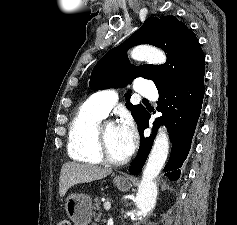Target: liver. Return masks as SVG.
<instances>
[{"label": "liver", "instance_id": "liver-1", "mask_svg": "<svg viewBox=\"0 0 237 225\" xmlns=\"http://www.w3.org/2000/svg\"><path fill=\"white\" fill-rule=\"evenodd\" d=\"M111 172L110 169L89 164L64 163L59 178V194L63 197L72 186L105 178Z\"/></svg>", "mask_w": 237, "mask_h": 225}]
</instances>
